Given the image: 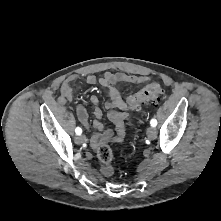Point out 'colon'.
I'll return each mask as SVG.
<instances>
[{"mask_svg": "<svg viewBox=\"0 0 221 221\" xmlns=\"http://www.w3.org/2000/svg\"><path fill=\"white\" fill-rule=\"evenodd\" d=\"M160 92V84L153 82L128 98V108L131 110L139 111L144 104L157 101ZM97 157L102 163L101 173L106 177L113 175V152L111 148L107 145H101L97 149Z\"/></svg>", "mask_w": 221, "mask_h": 221, "instance_id": "obj_1", "label": "colon"}]
</instances>
